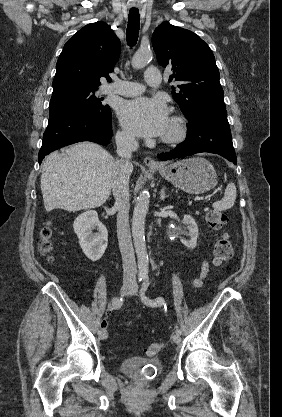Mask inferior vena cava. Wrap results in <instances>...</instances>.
I'll return each mask as SVG.
<instances>
[{
  "instance_id": "1",
  "label": "inferior vena cava",
  "mask_w": 282,
  "mask_h": 417,
  "mask_svg": "<svg viewBox=\"0 0 282 417\" xmlns=\"http://www.w3.org/2000/svg\"><path fill=\"white\" fill-rule=\"evenodd\" d=\"M115 142L116 152L121 158L114 162L112 190L115 198L114 206L118 211L117 237L122 255L123 279L136 283L137 265L129 225V176L133 170V164L129 160L133 150H136L139 144L127 132H116Z\"/></svg>"
}]
</instances>
